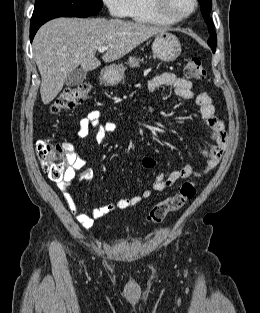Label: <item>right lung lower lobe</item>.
Returning <instances> with one entry per match:
<instances>
[{
    "instance_id": "obj_1",
    "label": "right lung lower lobe",
    "mask_w": 260,
    "mask_h": 313,
    "mask_svg": "<svg viewBox=\"0 0 260 313\" xmlns=\"http://www.w3.org/2000/svg\"><path fill=\"white\" fill-rule=\"evenodd\" d=\"M57 17H89V16H60L57 14H44V15H33L30 22V40L32 41L34 35L36 34L37 30L42 26L45 22L57 18Z\"/></svg>"
}]
</instances>
